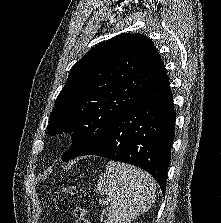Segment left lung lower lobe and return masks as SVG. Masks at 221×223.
<instances>
[{"label":"left lung lower lobe","mask_w":221,"mask_h":223,"mask_svg":"<svg viewBox=\"0 0 221 223\" xmlns=\"http://www.w3.org/2000/svg\"><path fill=\"white\" fill-rule=\"evenodd\" d=\"M176 113L165 67L105 134L79 156L98 155L149 172L166 190Z\"/></svg>","instance_id":"1"}]
</instances>
